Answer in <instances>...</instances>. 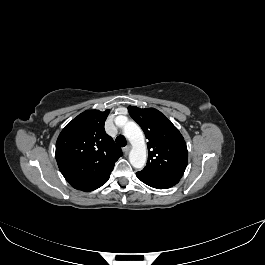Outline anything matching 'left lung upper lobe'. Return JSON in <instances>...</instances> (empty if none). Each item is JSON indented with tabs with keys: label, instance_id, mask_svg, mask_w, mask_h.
Wrapping results in <instances>:
<instances>
[{
	"label": "left lung upper lobe",
	"instance_id": "1",
	"mask_svg": "<svg viewBox=\"0 0 265 265\" xmlns=\"http://www.w3.org/2000/svg\"><path fill=\"white\" fill-rule=\"evenodd\" d=\"M128 112L148 139L143 173L180 179L188 162L187 146L179 130L160 111L129 106Z\"/></svg>",
	"mask_w": 265,
	"mask_h": 265
}]
</instances>
